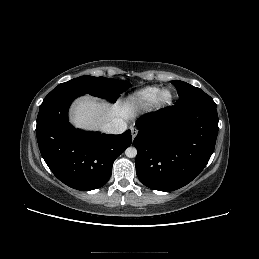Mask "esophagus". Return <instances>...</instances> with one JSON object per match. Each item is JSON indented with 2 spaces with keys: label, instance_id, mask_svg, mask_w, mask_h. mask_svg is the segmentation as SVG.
<instances>
[{
  "label": "esophagus",
  "instance_id": "esophagus-1",
  "mask_svg": "<svg viewBox=\"0 0 259 259\" xmlns=\"http://www.w3.org/2000/svg\"><path fill=\"white\" fill-rule=\"evenodd\" d=\"M138 133V130L134 127L131 128V135H132V138L134 139L136 137Z\"/></svg>",
  "mask_w": 259,
  "mask_h": 259
}]
</instances>
